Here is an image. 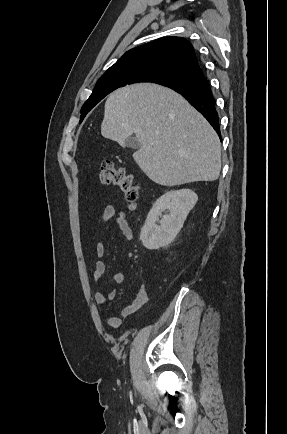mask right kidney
<instances>
[{
	"label": "right kidney",
	"mask_w": 287,
	"mask_h": 434,
	"mask_svg": "<svg viewBox=\"0 0 287 434\" xmlns=\"http://www.w3.org/2000/svg\"><path fill=\"white\" fill-rule=\"evenodd\" d=\"M197 201V194L190 189L169 191L162 195L153 205L141 229L140 240L143 246L156 250L169 245L180 232ZM165 211L169 213L162 216Z\"/></svg>",
	"instance_id": "1"
}]
</instances>
